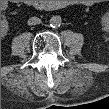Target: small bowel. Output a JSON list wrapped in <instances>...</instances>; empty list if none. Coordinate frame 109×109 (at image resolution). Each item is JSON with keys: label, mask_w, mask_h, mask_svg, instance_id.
<instances>
[{"label": "small bowel", "mask_w": 109, "mask_h": 109, "mask_svg": "<svg viewBox=\"0 0 109 109\" xmlns=\"http://www.w3.org/2000/svg\"><path fill=\"white\" fill-rule=\"evenodd\" d=\"M94 2L93 1H87L86 5L91 6Z\"/></svg>", "instance_id": "c3829d8e"}]
</instances>
